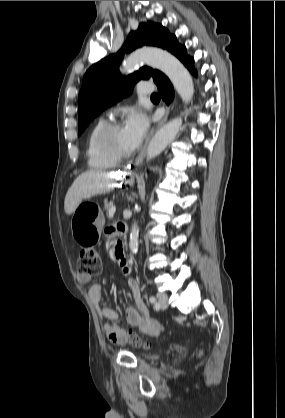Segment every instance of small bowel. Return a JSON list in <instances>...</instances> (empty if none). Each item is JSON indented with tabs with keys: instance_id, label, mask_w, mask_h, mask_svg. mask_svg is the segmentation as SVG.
Here are the masks:
<instances>
[{
	"instance_id": "small-bowel-1",
	"label": "small bowel",
	"mask_w": 285,
	"mask_h": 418,
	"mask_svg": "<svg viewBox=\"0 0 285 418\" xmlns=\"http://www.w3.org/2000/svg\"><path fill=\"white\" fill-rule=\"evenodd\" d=\"M118 232L121 231V227L118 226L116 229ZM106 233L110 236H114V232L111 229L106 230ZM119 265L123 273L128 277L127 288L132 296V299L136 305V308L127 307L125 310V317L127 321L132 325L138 327L143 333L155 336L159 333V325L154 322L148 312V309L143 301L138 281L130 275V267L126 260H120ZM76 280L79 283H86L89 278L84 275L77 274ZM91 302L97 309L99 315L105 319L113 321L117 318V313L110 307L101 306L102 301V286L98 283L93 284L88 292ZM104 332L108 340L113 344H123L126 342L124 331L113 323H104Z\"/></svg>"
}]
</instances>
